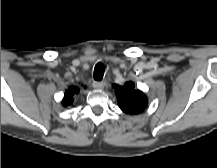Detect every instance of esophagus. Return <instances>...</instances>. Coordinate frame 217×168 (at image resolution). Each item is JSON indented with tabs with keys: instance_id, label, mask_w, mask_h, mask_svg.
I'll return each instance as SVG.
<instances>
[{
	"instance_id": "34e87169",
	"label": "esophagus",
	"mask_w": 217,
	"mask_h": 168,
	"mask_svg": "<svg viewBox=\"0 0 217 168\" xmlns=\"http://www.w3.org/2000/svg\"><path fill=\"white\" fill-rule=\"evenodd\" d=\"M105 85H106V82H104V81H102V82H100V81H94V82L92 83V86H93L95 89H103V88L105 87Z\"/></svg>"
}]
</instances>
